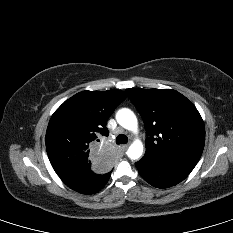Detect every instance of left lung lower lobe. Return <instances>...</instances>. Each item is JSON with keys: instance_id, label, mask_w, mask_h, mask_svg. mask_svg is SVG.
<instances>
[{"instance_id": "left-lung-lower-lobe-1", "label": "left lung lower lobe", "mask_w": 233, "mask_h": 233, "mask_svg": "<svg viewBox=\"0 0 233 233\" xmlns=\"http://www.w3.org/2000/svg\"><path fill=\"white\" fill-rule=\"evenodd\" d=\"M198 161L181 157L144 155L135 165L143 179L156 188H168L184 180Z\"/></svg>"}]
</instances>
